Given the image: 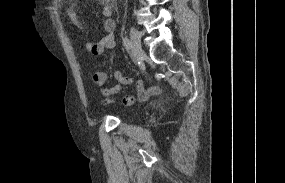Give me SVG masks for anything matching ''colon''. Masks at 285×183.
<instances>
[{
    "instance_id": "colon-1",
    "label": "colon",
    "mask_w": 285,
    "mask_h": 183,
    "mask_svg": "<svg viewBox=\"0 0 285 183\" xmlns=\"http://www.w3.org/2000/svg\"><path fill=\"white\" fill-rule=\"evenodd\" d=\"M150 95H148V97H149ZM142 98L144 99L145 98V96H142ZM129 100L126 98L125 99V102H128Z\"/></svg>"
}]
</instances>
